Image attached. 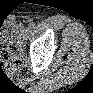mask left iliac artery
<instances>
[{
    "label": "left iliac artery",
    "instance_id": "left-iliac-artery-1",
    "mask_svg": "<svg viewBox=\"0 0 93 93\" xmlns=\"http://www.w3.org/2000/svg\"><path fill=\"white\" fill-rule=\"evenodd\" d=\"M29 27H30V28H34V24H33V23H30V24H29Z\"/></svg>",
    "mask_w": 93,
    "mask_h": 93
}]
</instances>
